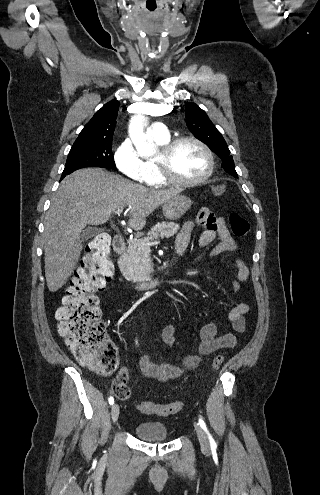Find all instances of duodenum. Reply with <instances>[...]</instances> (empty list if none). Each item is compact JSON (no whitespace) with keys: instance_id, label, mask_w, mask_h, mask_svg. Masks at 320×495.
Segmentation results:
<instances>
[{"instance_id":"duodenum-1","label":"duodenum","mask_w":320,"mask_h":495,"mask_svg":"<svg viewBox=\"0 0 320 495\" xmlns=\"http://www.w3.org/2000/svg\"><path fill=\"white\" fill-rule=\"evenodd\" d=\"M113 248L114 251L123 256L126 252V243L122 236H115L113 239ZM164 282V279H156L148 282L134 283L135 288L140 290L153 289L157 286L161 285Z\"/></svg>"}]
</instances>
